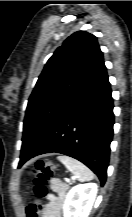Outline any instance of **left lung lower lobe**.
<instances>
[{
    "label": "left lung lower lobe",
    "mask_w": 132,
    "mask_h": 217,
    "mask_svg": "<svg viewBox=\"0 0 132 217\" xmlns=\"http://www.w3.org/2000/svg\"><path fill=\"white\" fill-rule=\"evenodd\" d=\"M113 124L111 88L103 64L41 143L32 152L21 150L18 167L40 154L61 153L84 163L99 177L101 185H104Z\"/></svg>",
    "instance_id": "left-lung-lower-lobe-1"
}]
</instances>
